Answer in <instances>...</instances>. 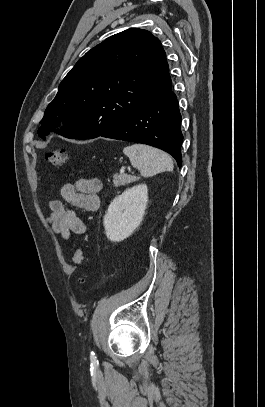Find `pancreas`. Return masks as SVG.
Segmentation results:
<instances>
[{"label": "pancreas", "instance_id": "pancreas-1", "mask_svg": "<svg viewBox=\"0 0 265 407\" xmlns=\"http://www.w3.org/2000/svg\"><path fill=\"white\" fill-rule=\"evenodd\" d=\"M140 178L137 176H132L128 174L116 173L113 175V185L115 187H120L123 185H128L132 182L138 181Z\"/></svg>", "mask_w": 265, "mask_h": 407}]
</instances>
